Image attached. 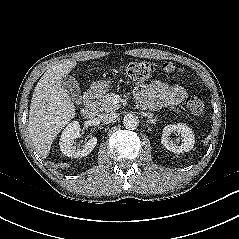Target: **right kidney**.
<instances>
[{"instance_id":"right-kidney-1","label":"right kidney","mask_w":239,"mask_h":239,"mask_svg":"<svg viewBox=\"0 0 239 239\" xmlns=\"http://www.w3.org/2000/svg\"><path fill=\"white\" fill-rule=\"evenodd\" d=\"M78 137H80V125L78 121H73L67 125L61 134L59 145L64 155L72 158L85 157L91 153L97 144V138L93 136L86 142L83 149H77L73 142Z\"/></svg>"}]
</instances>
